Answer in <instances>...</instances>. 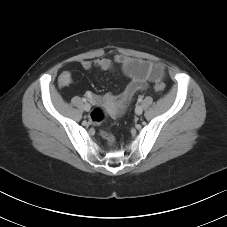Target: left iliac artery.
I'll return each instance as SVG.
<instances>
[{
	"label": "left iliac artery",
	"mask_w": 227,
	"mask_h": 227,
	"mask_svg": "<svg viewBox=\"0 0 227 227\" xmlns=\"http://www.w3.org/2000/svg\"><path fill=\"white\" fill-rule=\"evenodd\" d=\"M141 101H142V97H139V98H138V102H141Z\"/></svg>",
	"instance_id": "44dca946"
}]
</instances>
